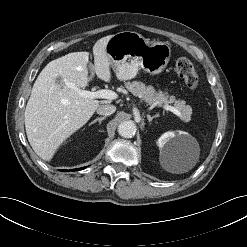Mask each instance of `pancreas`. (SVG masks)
<instances>
[{
    "mask_svg": "<svg viewBox=\"0 0 247 247\" xmlns=\"http://www.w3.org/2000/svg\"><path fill=\"white\" fill-rule=\"evenodd\" d=\"M125 87L134 95L144 100L150 106H156L161 104H172L181 113L179 116L184 122H189L191 119L192 108L186 105L183 100H175L174 96L167 95L162 91H155L152 86H146L140 81H133L125 83Z\"/></svg>",
    "mask_w": 247,
    "mask_h": 247,
    "instance_id": "cf45deb5",
    "label": "pancreas"
}]
</instances>
